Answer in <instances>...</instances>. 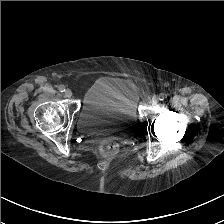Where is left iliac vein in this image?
I'll return each mask as SVG.
<instances>
[{"instance_id": "obj_1", "label": "left iliac vein", "mask_w": 224, "mask_h": 224, "mask_svg": "<svg viewBox=\"0 0 224 224\" xmlns=\"http://www.w3.org/2000/svg\"><path fill=\"white\" fill-rule=\"evenodd\" d=\"M159 98L158 97H153L152 98V104H157L158 103Z\"/></svg>"}]
</instances>
